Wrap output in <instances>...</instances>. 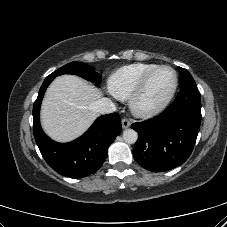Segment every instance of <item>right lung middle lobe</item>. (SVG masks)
I'll use <instances>...</instances> for the list:
<instances>
[{"mask_svg": "<svg viewBox=\"0 0 227 227\" xmlns=\"http://www.w3.org/2000/svg\"><path fill=\"white\" fill-rule=\"evenodd\" d=\"M63 74H75L97 84L101 82V74L96 73L93 67L76 61L68 63L59 68L58 70L50 74L48 78H55L56 76Z\"/></svg>", "mask_w": 227, "mask_h": 227, "instance_id": "obj_1", "label": "right lung middle lobe"}]
</instances>
